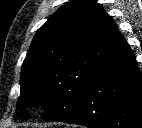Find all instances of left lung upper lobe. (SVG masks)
Instances as JSON below:
<instances>
[{
	"label": "left lung upper lobe",
	"instance_id": "left-lung-upper-lobe-1",
	"mask_svg": "<svg viewBox=\"0 0 142 128\" xmlns=\"http://www.w3.org/2000/svg\"><path fill=\"white\" fill-rule=\"evenodd\" d=\"M127 45L113 19L93 0H73L59 8L33 38L24 59L17 101L44 106L47 122L70 114L91 78Z\"/></svg>",
	"mask_w": 142,
	"mask_h": 128
}]
</instances>
